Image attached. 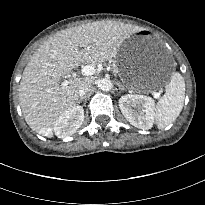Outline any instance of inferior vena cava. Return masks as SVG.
Returning a JSON list of instances; mask_svg holds the SVG:
<instances>
[{
    "instance_id": "obj_1",
    "label": "inferior vena cava",
    "mask_w": 205,
    "mask_h": 205,
    "mask_svg": "<svg viewBox=\"0 0 205 205\" xmlns=\"http://www.w3.org/2000/svg\"><path fill=\"white\" fill-rule=\"evenodd\" d=\"M94 81L90 78L85 79L78 89L79 96L83 97L92 88Z\"/></svg>"
}]
</instances>
